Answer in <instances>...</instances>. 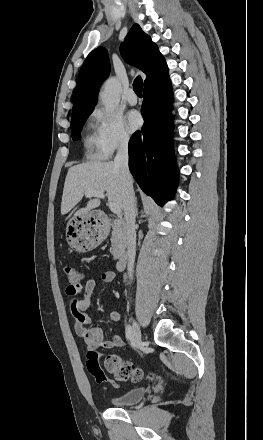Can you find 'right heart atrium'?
Instances as JSON below:
<instances>
[{"label": "right heart atrium", "mask_w": 263, "mask_h": 440, "mask_svg": "<svg viewBox=\"0 0 263 440\" xmlns=\"http://www.w3.org/2000/svg\"><path fill=\"white\" fill-rule=\"evenodd\" d=\"M96 134L99 146L104 155L108 156L120 148L130 144L131 137L125 128L122 118L115 113L96 110Z\"/></svg>", "instance_id": "obj_1"}]
</instances>
